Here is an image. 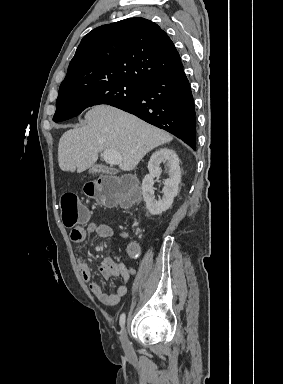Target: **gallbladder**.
Here are the masks:
<instances>
[{
    "mask_svg": "<svg viewBox=\"0 0 283 384\" xmlns=\"http://www.w3.org/2000/svg\"><path fill=\"white\" fill-rule=\"evenodd\" d=\"M111 167L110 165H96L94 167V170L90 172V175L92 177H96L98 175V172H110Z\"/></svg>",
    "mask_w": 283,
    "mask_h": 384,
    "instance_id": "gallbladder-1",
    "label": "gallbladder"
}]
</instances>
